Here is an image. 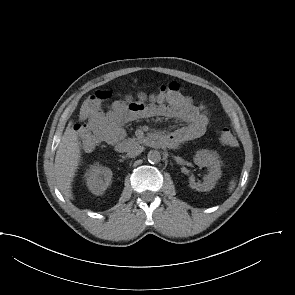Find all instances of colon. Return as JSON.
I'll use <instances>...</instances> for the list:
<instances>
[{"label": "colon", "instance_id": "5ec220e1", "mask_svg": "<svg viewBox=\"0 0 295 295\" xmlns=\"http://www.w3.org/2000/svg\"><path fill=\"white\" fill-rule=\"evenodd\" d=\"M160 92L167 93L171 96L178 97L179 99H188L182 91L181 87L176 82H171L160 87ZM111 96L110 91H96L95 93L88 96L81 105L80 108V120L81 122L77 125L76 129L80 136L84 138L86 146L92 148L98 144L102 139V131L98 129L87 128L88 119L98 110H100L101 105L104 101L109 99ZM219 140L221 144L229 147H234L237 145V140L233 132L224 128L221 130L219 135Z\"/></svg>", "mask_w": 295, "mask_h": 295}]
</instances>
